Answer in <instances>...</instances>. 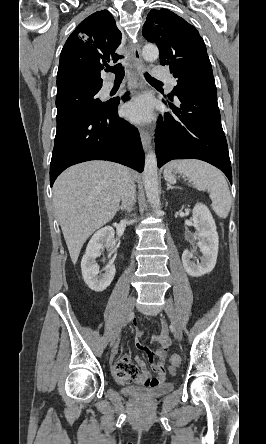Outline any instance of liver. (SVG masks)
<instances>
[{
    "label": "liver",
    "mask_w": 266,
    "mask_h": 444,
    "mask_svg": "<svg viewBox=\"0 0 266 444\" xmlns=\"http://www.w3.org/2000/svg\"><path fill=\"white\" fill-rule=\"evenodd\" d=\"M125 173L129 172L120 164L89 161L56 179L53 204L73 264L88 237L115 216Z\"/></svg>",
    "instance_id": "1"
}]
</instances>
